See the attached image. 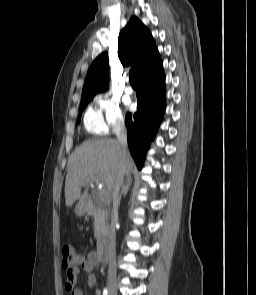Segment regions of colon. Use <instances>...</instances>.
Returning a JSON list of instances; mask_svg holds the SVG:
<instances>
[{"instance_id":"5ec220e1","label":"colon","mask_w":256,"mask_h":295,"mask_svg":"<svg viewBox=\"0 0 256 295\" xmlns=\"http://www.w3.org/2000/svg\"><path fill=\"white\" fill-rule=\"evenodd\" d=\"M82 261V256L72 246L62 248V267L66 271H73Z\"/></svg>"}]
</instances>
